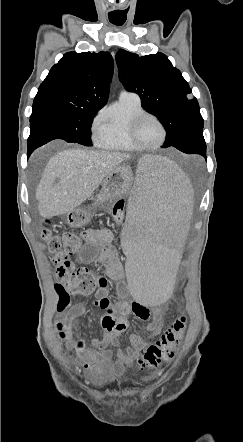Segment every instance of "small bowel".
Returning <instances> with one entry per match:
<instances>
[{
    "instance_id": "obj_1",
    "label": "small bowel",
    "mask_w": 243,
    "mask_h": 442,
    "mask_svg": "<svg viewBox=\"0 0 243 442\" xmlns=\"http://www.w3.org/2000/svg\"><path fill=\"white\" fill-rule=\"evenodd\" d=\"M86 242V249L80 254L82 263L96 262L105 266L106 276L116 282V290L120 296H126L128 283L124 279L123 264L115 247L112 245L113 232L107 228L86 229L81 232ZM96 285V299L93 304L102 310L100 323L102 333L92 337L87 343L84 341L69 342L67 349L72 353L71 363L84 369L91 380L105 382L121 376L147 345V339L138 334L130 336V346L123 348L119 336L127 329L126 317L133 314L141 320H150L147 325V337L152 339L159 335L163 328L162 309L156 307L149 313L148 307H138L137 302L132 305L126 300L112 302L108 298V282L105 276H98ZM61 315L56 322V330L61 339L78 337L74 321L84 317L87 306L84 303H75L70 307L59 308ZM111 347V348H109Z\"/></svg>"
}]
</instances>
